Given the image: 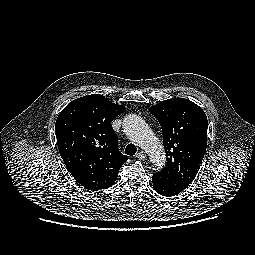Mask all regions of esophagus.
<instances>
[{
  "label": "esophagus",
  "instance_id": "esophagus-1",
  "mask_svg": "<svg viewBox=\"0 0 255 255\" xmlns=\"http://www.w3.org/2000/svg\"><path fill=\"white\" fill-rule=\"evenodd\" d=\"M137 157L140 159V160H145L147 158V155L144 151H140L138 154H137Z\"/></svg>",
  "mask_w": 255,
  "mask_h": 255
}]
</instances>
